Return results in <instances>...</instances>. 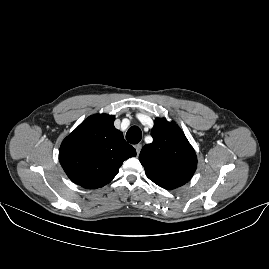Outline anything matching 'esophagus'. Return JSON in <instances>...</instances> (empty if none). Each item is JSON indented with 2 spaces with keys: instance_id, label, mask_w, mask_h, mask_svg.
<instances>
[{
  "instance_id": "34e87169",
  "label": "esophagus",
  "mask_w": 269,
  "mask_h": 269,
  "mask_svg": "<svg viewBox=\"0 0 269 269\" xmlns=\"http://www.w3.org/2000/svg\"><path fill=\"white\" fill-rule=\"evenodd\" d=\"M134 148L136 149V153H137V157L139 156V153L141 151L142 145L141 144H136L134 146Z\"/></svg>"
}]
</instances>
